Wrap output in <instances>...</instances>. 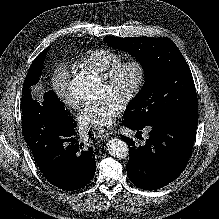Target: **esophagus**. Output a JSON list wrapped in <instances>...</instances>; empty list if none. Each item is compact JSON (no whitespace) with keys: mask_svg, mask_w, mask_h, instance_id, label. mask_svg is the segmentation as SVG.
Wrapping results in <instances>:
<instances>
[{"mask_svg":"<svg viewBox=\"0 0 219 219\" xmlns=\"http://www.w3.org/2000/svg\"><path fill=\"white\" fill-rule=\"evenodd\" d=\"M109 134H110V132L108 130H105V129H100V130L96 131V135L102 139L107 138L109 136Z\"/></svg>","mask_w":219,"mask_h":219,"instance_id":"34e87169","label":"esophagus"}]
</instances>
